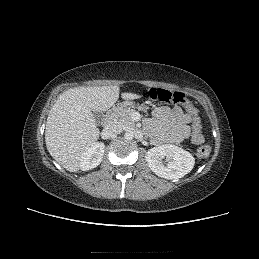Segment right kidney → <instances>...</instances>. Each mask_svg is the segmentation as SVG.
Wrapping results in <instances>:
<instances>
[{
	"mask_svg": "<svg viewBox=\"0 0 259 259\" xmlns=\"http://www.w3.org/2000/svg\"><path fill=\"white\" fill-rule=\"evenodd\" d=\"M105 145L102 142L94 143L83 154L80 160V169L87 171L96 168L102 161Z\"/></svg>",
	"mask_w": 259,
	"mask_h": 259,
	"instance_id": "right-kidney-1",
	"label": "right kidney"
}]
</instances>
